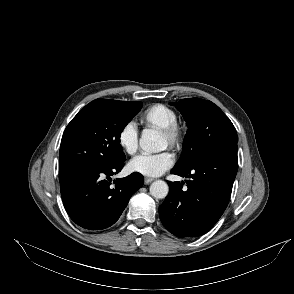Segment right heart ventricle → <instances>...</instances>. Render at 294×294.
Returning a JSON list of instances; mask_svg holds the SVG:
<instances>
[{
	"mask_svg": "<svg viewBox=\"0 0 294 294\" xmlns=\"http://www.w3.org/2000/svg\"><path fill=\"white\" fill-rule=\"evenodd\" d=\"M178 115L174 109L165 104H154L140 115V123L145 128L161 130L177 123Z\"/></svg>",
	"mask_w": 294,
	"mask_h": 294,
	"instance_id": "obj_1",
	"label": "right heart ventricle"
}]
</instances>
